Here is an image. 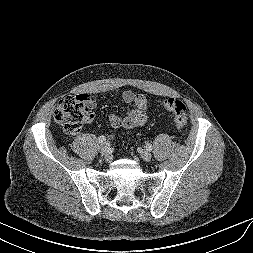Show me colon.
Listing matches in <instances>:
<instances>
[{"instance_id": "colon-1", "label": "colon", "mask_w": 253, "mask_h": 253, "mask_svg": "<svg viewBox=\"0 0 253 253\" xmlns=\"http://www.w3.org/2000/svg\"><path fill=\"white\" fill-rule=\"evenodd\" d=\"M165 110L174 115V121L178 128L187 125V110L185 104L177 99L169 98L162 101ZM93 113L86 96H66L59 102L54 119L67 134L74 135L80 131L83 123L89 122Z\"/></svg>"}]
</instances>
